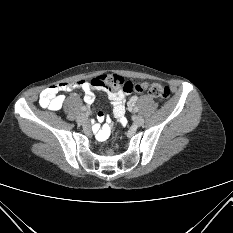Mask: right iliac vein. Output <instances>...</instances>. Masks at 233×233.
<instances>
[{
  "mask_svg": "<svg viewBox=\"0 0 233 233\" xmlns=\"http://www.w3.org/2000/svg\"><path fill=\"white\" fill-rule=\"evenodd\" d=\"M87 122H88V116L86 114L82 113L77 117L78 124L84 125Z\"/></svg>",
  "mask_w": 233,
  "mask_h": 233,
  "instance_id": "obj_1",
  "label": "right iliac vein"
}]
</instances>
